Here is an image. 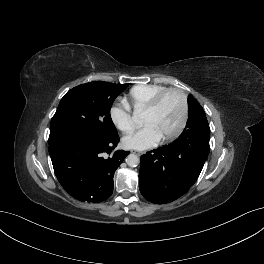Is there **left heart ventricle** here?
I'll use <instances>...</instances> for the list:
<instances>
[{
  "label": "left heart ventricle",
  "mask_w": 264,
  "mask_h": 264,
  "mask_svg": "<svg viewBox=\"0 0 264 264\" xmlns=\"http://www.w3.org/2000/svg\"><path fill=\"white\" fill-rule=\"evenodd\" d=\"M182 106L180 97L176 93L168 94L159 107L150 113H143L144 125L151 124L164 137L173 132L180 123Z\"/></svg>",
  "instance_id": "1"
}]
</instances>
